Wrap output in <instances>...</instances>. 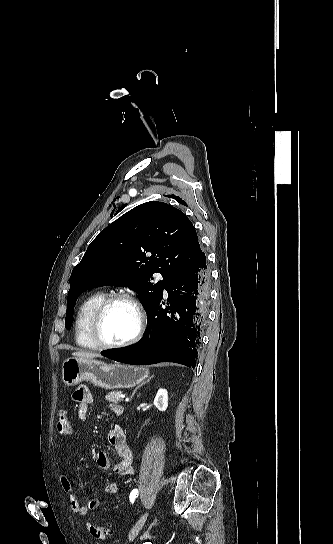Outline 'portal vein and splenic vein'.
Segmentation results:
<instances>
[{
	"label": "portal vein and splenic vein",
	"mask_w": 333,
	"mask_h": 544,
	"mask_svg": "<svg viewBox=\"0 0 333 544\" xmlns=\"http://www.w3.org/2000/svg\"><path fill=\"white\" fill-rule=\"evenodd\" d=\"M120 398H125V394H121V395H120Z\"/></svg>",
	"instance_id": "portal-vein-and-splenic-vein-1"
}]
</instances>
